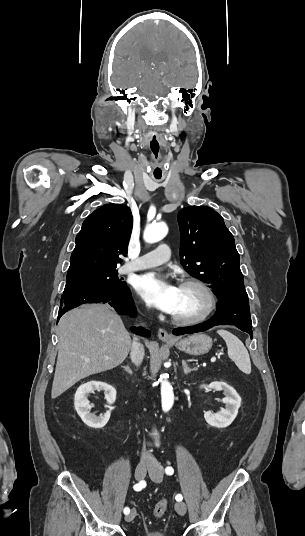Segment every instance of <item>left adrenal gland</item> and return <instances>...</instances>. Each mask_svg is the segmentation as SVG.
<instances>
[{
	"mask_svg": "<svg viewBox=\"0 0 305 536\" xmlns=\"http://www.w3.org/2000/svg\"><path fill=\"white\" fill-rule=\"evenodd\" d=\"M182 364H183L184 374H189V372H193L191 368H188V364H186V362H182Z\"/></svg>",
	"mask_w": 305,
	"mask_h": 536,
	"instance_id": "left-adrenal-gland-1",
	"label": "left adrenal gland"
}]
</instances>
